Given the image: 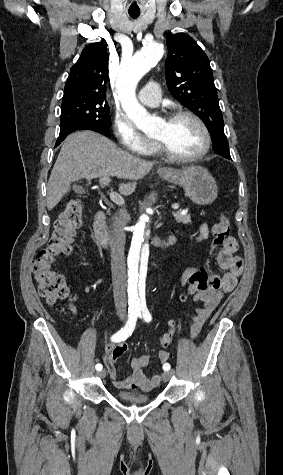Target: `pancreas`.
<instances>
[{
  "instance_id": "cf45deb5",
  "label": "pancreas",
  "mask_w": 283,
  "mask_h": 475,
  "mask_svg": "<svg viewBox=\"0 0 283 475\" xmlns=\"http://www.w3.org/2000/svg\"><path fill=\"white\" fill-rule=\"evenodd\" d=\"M173 216L176 222H179V224H191L190 214H182V210H179V212H174Z\"/></svg>"
}]
</instances>
